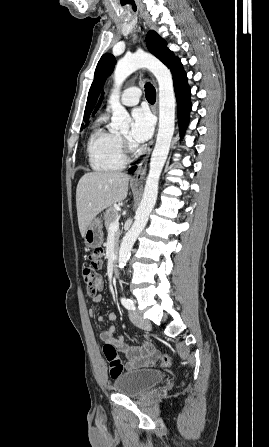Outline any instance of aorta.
I'll return each mask as SVG.
<instances>
[{"instance_id":"762f6f07","label":"aorta","mask_w":269,"mask_h":447,"mask_svg":"<svg viewBox=\"0 0 269 447\" xmlns=\"http://www.w3.org/2000/svg\"><path fill=\"white\" fill-rule=\"evenodd\" d=\"M147 68L154 74L159 86V128L155 148L152 152L150 170L146 180L143 198L136 212L135 222L122 239L119 249V265L124 267L128 261L129 253L138 235L149 220V216L156 204L158 184L163 166L169 154L171 140L175 132V94L172 74L155 56L141 52L131 54L118 60L114 72V90L109 96L108 104L111 106V130H130L132 118L126 108L120 104V88L128 76L136 70Z\"/></svg>"}]
</instances>
